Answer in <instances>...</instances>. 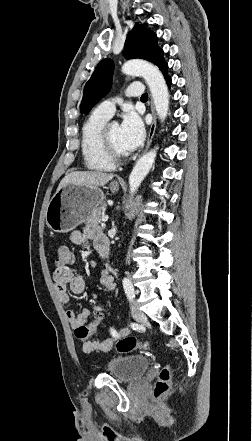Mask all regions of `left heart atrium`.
<instances>
[{
  "instance_id": "left-heart-atrium-1",
  "label": "left heart atrium",
  "mask_w": 252,
  "mask_h": 441,
  "mask_svg": "<svg viewBox=\"0 0 252 441\" xmlns=\"http://www.w3.org/2000/svg\"><path fill=\"white\" fill-rule=\"evenodd\" d=\"M145 137L144 124L141 117L132 109H127L120 125V143L125 153L136 150Z\"/></svg>"
}]
</instances>
